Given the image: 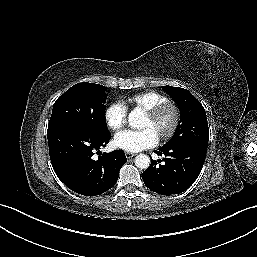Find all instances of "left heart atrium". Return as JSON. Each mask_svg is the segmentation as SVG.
<instances>
[{
    "mask_svg": "<svg viewBox=\"0 0 257 257\" xmlns=\"http://www.w3.org/2000/svg\"><path fill=\"white\" fill-rule=\"evenodd\" d=\"M158 141L159 137L151 129L125 130L114 138L115 146L128 152H139L155 147Z\"/></svg>",
    "mask_w": 257,
    "mask_h": 257,
    "instance_id": "obj_1",
    "label": "left heart atrium"
}]
</instances>
